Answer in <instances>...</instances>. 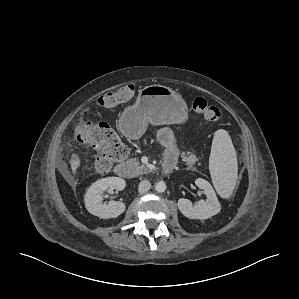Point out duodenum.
Instances as JSON below:
<instances>
[{
    "mask_svg": "<svg viewBox=\"0 0 299 299\" xmlns=\"http://www.w3.org/2000/svg\"><path fill=\"white\" fill-rule=\"evenodd\" d=\"M174 163L172 162H164L163 163V171L169 173L174 168ZM115 173L122 178H128L131 175L130 167L127 163H119L115 167Z\"/></svg>",
    "mask_w": 299,
    "mask_h": 299,
    "instance_id": "1",
    "label": "duodenum"
}]
</instances>
